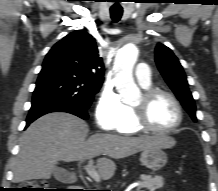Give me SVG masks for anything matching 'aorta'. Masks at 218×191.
Segmentation results:
<instances>
[{
    "mask_svg": "<svg viewBox=\"0 0 218 191\" xmlns=\"http://www.w3.org/2000/svg\"><path fill=\"white\" fill-rule=\"evenodd\" d=\"M138 49L134 44L123 46L115 57V85L126 104H131L140 96V90L133 79V67L137 61Z\"/></svg>",
    "mask_w": 218,
    "mask_h": 191,
    "instance_id": "762f6f07",
    "label": "aorta"
}]
</instances>
